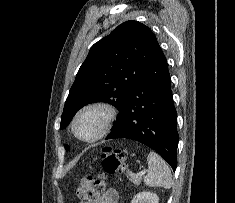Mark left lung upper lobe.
Here are the masks:
<instances>
[{
  "label": "left lung upper lobe",
  "mask_w": 235,
  "mask_h": 203,
  "mask_svg": "<svg viewBox=\"0 0 235 203\" xmlns=\"http://www.w3.org/2000/svg\"><path fill=\"white\" fill-rule=\"evenodd\" d=\"M158 47L150 28L133 20L95 43L70 89L60 128L64 129L80 108L94 102L112 104L119 117Z\"/></svg>",
  "instance_id": "left-lung-upper-lobe-1"
}]
</instances>
